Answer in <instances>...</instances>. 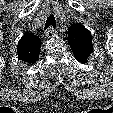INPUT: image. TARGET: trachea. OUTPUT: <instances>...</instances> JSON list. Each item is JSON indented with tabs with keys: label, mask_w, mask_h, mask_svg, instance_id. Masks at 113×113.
Listing matches in <instances>:
<instances>
[{
	"label": "trachea",
	"mask_w": 113,
	"mask_h": 113,
	"mask_svg": "<svg viewBox=\"0 0 113 113\" xmlns=\"http://www.w3.org/2000/svg\"><path fill=\"white\" fill-rule=\"evenodd\" d=\"M55 23H56L55 22V17L53 15H49V17L46 20L44 29H48L50 27H53L54 28L55 25H56Z\"/></svg>",
	"instance_id": "3493384b"
}]
</instances>
